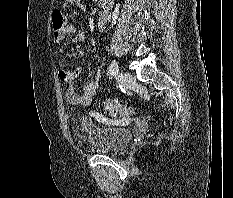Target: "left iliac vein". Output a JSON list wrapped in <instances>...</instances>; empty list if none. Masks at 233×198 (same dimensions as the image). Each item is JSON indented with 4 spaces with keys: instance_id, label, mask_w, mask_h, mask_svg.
<instances>
[{
    "instance_id": "left-iliac-vein-1",
    "label": "left iliac vein",
    "mask_w": 233,
    "mask_h": 198,
    "mask_svg": "<svg viewBox=\"0 0 233 198\" xmlns=\"http://www.w3.org/2000/svg\"><path fill=\"white\" fill-rule=\"evenodd\" d=\"M119 79L125 87H130L135 82V78L130 72H121Z\"/></svg>"
}]
</instances>
